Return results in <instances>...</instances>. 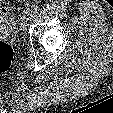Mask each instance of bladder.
I'll return each instance as SVG.
<instances>
[{
  "instance_id": "bladder-1",
  "label": "bladder",
  "mask_w": 113,
  "mask_h": 113,
  "mask_svg": "<svg viewBox=\"0 0 113 113\" xmlns=\"http://www.w3.org/2000/svg\"><path fill=\"white\" fill-rule=\"evenodd\" d=\"M14 22L7 16L0 14V38L7 37L13 30Z\"/></svg>"
}]
</instances>
